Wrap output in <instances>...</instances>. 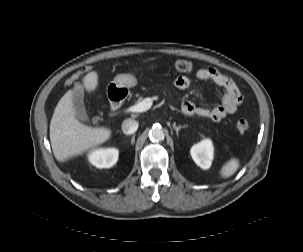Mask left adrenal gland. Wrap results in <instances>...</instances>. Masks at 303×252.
Returning a JSON list of instances; mask_svg holds the SVG:
<instances>
[{"label":"left adrenal gland","mask_w":303,"mask_h":252,"mask_svg":"<svg viewBox=\"0 0 303 252\" xmlns=\"http://www.w3.org/2000/svg\"><path fill=\"white\" fill-rule=\"evenodd\" d=\"M173 129L176 130V133L178 135L179 131L182 129V128H186L188 125H182V126H176V123H173Z\"/></svg>","instance_id":"a2214340"}]
</instances>
